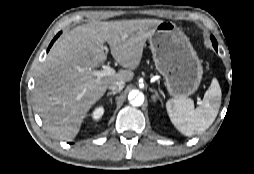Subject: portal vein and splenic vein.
Listing matches in <instances>:
<instances>
[{"label": "portal vein and splenic vein", "instance_id": "1", "mask_svg": "<svg viewBox=\"0 0 254 174\" xmlns=\"http://www.w3.org/2000/svg\"><path fill=\"white\" fill-rule=\"evenodd\" d=\"M91 73L97 78H102V77L113 75L115 73V70L111 68L109 65H105L103 67V70H100V71L95 70V71H92Z\"/></svg>", "mask_w": 254, "mask_h": 174}]
</instances>
